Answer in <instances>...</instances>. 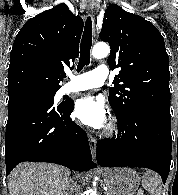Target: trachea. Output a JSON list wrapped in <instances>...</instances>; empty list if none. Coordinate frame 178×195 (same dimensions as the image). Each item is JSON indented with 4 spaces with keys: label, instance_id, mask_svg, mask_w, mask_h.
<instances>
[{
    "label": "trachea",
    "instance_id": "trachea-1",
    "mask_svg": "<svg viewBox=\"0 0 178 195\" xmlns=\"http://www.w3.org/2000/svg\"><path fill=\"white\" fill-rule=\"evenodd\" d=\"M91 46H92V21H91V17H88L85 23L84 33L80 45V59L77 66L78 72L81 71L85 65H89Z\"/></svg>",
    "mask_w": 178,
    "mask_h": 195
}]
</instances>
